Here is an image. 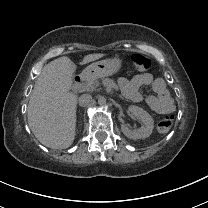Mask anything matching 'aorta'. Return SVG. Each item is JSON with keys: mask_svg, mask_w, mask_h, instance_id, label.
<instances>
[{"mask_svg": "<svg viewBox=\"0 0 208 208\" xmlns=\"http://www.w3.org/2000/svg\"><path fill=\"white\" fill-rule=\"evenodd\" d=\"M105 100H106V97L104 95H101L98 99V104L101 105V106H104L105 105Z\"/></svg>", "mask_w": 208, "mask_h": 208, "instance_id": "1", "label": "aorta"}]
</instances>
